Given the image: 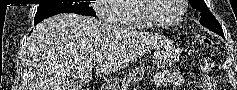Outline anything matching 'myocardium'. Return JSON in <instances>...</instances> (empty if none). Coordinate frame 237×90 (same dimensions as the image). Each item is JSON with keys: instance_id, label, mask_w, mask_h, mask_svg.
<instances>
[{"instance_id": "1", "label": "myocardium", "mask_w": 237, "mask_h": 90, "mask_svg": "<svg viewBox=\"0 0 237 90\" xmlns=\"http://www.w3.org/2000/svg\"><path fill=\"white\" fill-rule=\"evenodd\" d=\"M147 1L150 0H139L135 1V3L138 6V16L140 20L144 23L146 28H156L157 29H172L180 25L182 22L185 12H186V5L184 3H188L189 0H177L174 1V3L177 4L179 7V14L177 16V19L173 23H168V24H158L155 21H153L149 16H147L144 12L148 11V8H143V3H147ZM144 11V12H143Z\"/></svg>"}]
</instances>
